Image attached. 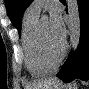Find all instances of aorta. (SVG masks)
Wrapping results in <instances>:
<instances>
[{"mask_svg":"<svg viewBox=\"0 0 89 89\" xmlns=\"http://www.w3.org/2000/svg\"><path fill=\"white\" fill-rule=\"evenodd\" d=\"M67 6L70 28V42L73 50L76 51L81 34L80 14L77 0H67ZM43 18H46V16H43Z\"/></svg>","mask_w":89,"mask_h":89,"instance_id":"obj_1","label":"aorta"}]
</instances>
